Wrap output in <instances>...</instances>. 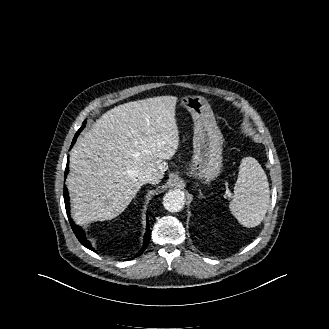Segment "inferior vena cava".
I'll return each mask as SVG.
<instances>
[{
  "label": "inferior vena cava",
  "instance_id": "obj_1",
  "mask_svg": "<svg viewBox=\"0 0 329 329\" xmlns=\"http://www.w3.org/2000/svg\"><path fill=\"white\" fill-rule=\"evenodd\" d=\"M139 179L142 182V184L153 183L154 181H156V177L149 170L144 171L143 173H141Z\"/></svg>",
  "mask_w": 329,
  "mask_h": 329
}]
</instances>
